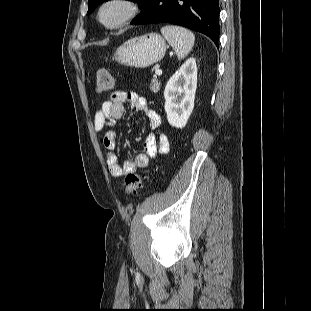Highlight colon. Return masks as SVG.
Masks as SVG:
<instances>
[{
    "mask_svg": "<svg viewBox=\"0 0 311 311\" xmlns=\"http://www.w3.org/2000/svg\"><path fill=\"white\" fill-rule=\"evenodd\" d=\"M114 79L111 72L106 68H100L96 74V90L106 93L112 90ZM142 186V176L137 173H128L125 178L124 192L127 196H134Z\"/></svg>",
    "mask_w": 311,
    "mask_h": 311,
    "instance_id": "5ec220e1",
    "label": "colon"
}]
</instances>
